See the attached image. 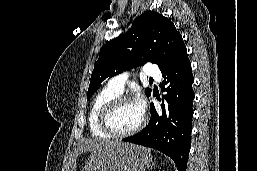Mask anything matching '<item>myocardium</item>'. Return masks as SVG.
Returning a JSON list of instances; mask_svg holds the SVG:
<instances>
[{
  "instance_id": "1",
  "label": "myocardium",
  "mask_w": 257,
  "mask_h": 171,
  "mask_svg": "<svg viewBox=\"0 0 257 171\" xmlns=\"http://www.w3.org/2000/svg\"><path fill=\"white\" fill-rule=\"evenodd\" d=\"M128 102H133V100L129 96L119 95L116 98L110 100L101 110V113L99 116V127L103 132L108 134L110 137L125 138L138 133L145 126L146 115L143 113L139 124L131 130L118 132L112 128L110 124L111 114L119 105L128 103Z\"/></svg>"
}]
</instances>
